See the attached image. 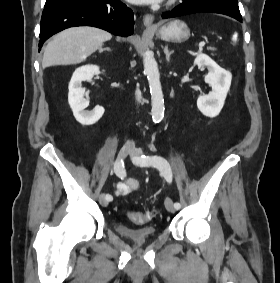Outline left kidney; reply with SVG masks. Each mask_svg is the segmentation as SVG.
<instances>
[{
	"label": "left kidney",
	"mask_w": 280,
	"mask_h": 283,
	"mask_svg": "<svg viewBox=\"0 0 280 283\" xmlns=\"http://www.w3.org/2000/svg\"><path fill=\"white\" fill-rule=\"evenodd\" d=\"M194 64L199 67H207L208 74L205 76V82L212 87V91L208 95L201 94L198 97L197 107L205 116L216 117L224 106L231 86L232 75L205 54L198 55L194 60Z\"/></svg>",
	"instance_id": "left-kidney-1"
}]
</instances>
